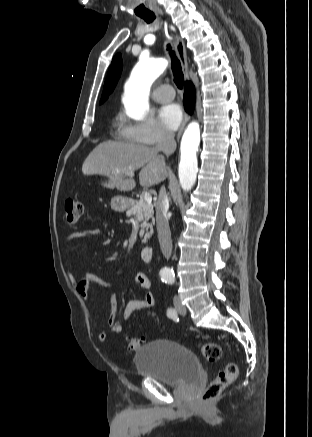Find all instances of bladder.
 <instances>
[{
	"label": "bladder",
	"instance_id": "bladder-1",
	"mask_svg": "<svg viewBox=\"0 0 312 437\" xmlns=\"http://www.w3.org/2000/svg\"><path fill=\"white\" fill-rule=\"evenodd\" d=\"M134 365L141 377L169 385H179L202 369L192 350L167 339L153 340L139 348Z\"/></svg>",
	"mask_w": 312,
	"mask_h": 437
}]
</instances>
